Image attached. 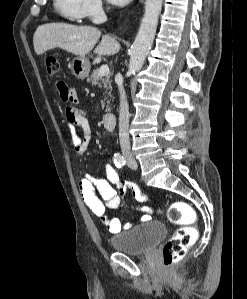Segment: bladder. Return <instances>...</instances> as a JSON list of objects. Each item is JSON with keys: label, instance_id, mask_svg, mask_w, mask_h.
<instances>
[{"label": "bladder", "instance_id": "1", "mask_svg": "<svg viewBox=\"0 0 247 299\" xmlns=\"http://www.w3.org/2000/svg\"><path fill=\"white\" fill-rule=\"evenodd\" d=\"M165 235L164 224L152 220L113 235L110 243L119 252L142 255L152 250Z\"/></svg>", "mask_w": 247, "mask_h": 299}]
</instances>
